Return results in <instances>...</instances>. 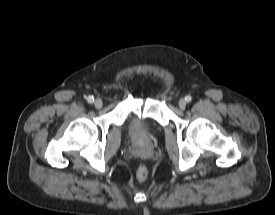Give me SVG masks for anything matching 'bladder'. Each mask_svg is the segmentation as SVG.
Listing matches in <instances>:
<instances>
[{
  "mask_svg": "<svg viewBox=\"0 0 275 215\" xmlns=\"http://www.w3.org/2000/svg\"><path fill=\"white\" fill-rule=\"evenodd\" d=\"M127 130L132 137L144 139L150 134L149 122L142 115L133 114L128 119Z\"/></svg>",
  "mask_w": 275,
  "mask_h": 215,
  "instance_id": "obj_1",
  "label": "bladder"
}]
</instances>
